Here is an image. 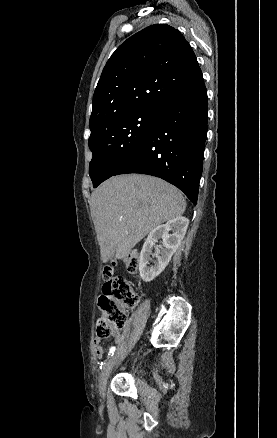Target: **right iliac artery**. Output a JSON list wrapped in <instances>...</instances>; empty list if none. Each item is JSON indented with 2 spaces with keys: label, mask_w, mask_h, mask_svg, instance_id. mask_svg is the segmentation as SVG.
<instances>
[{
  "label": "right iliac artery",
  "mask_w": 277,
  "mask_h": 438,
  "mask_svg": "<svg viewBox=\"0 0 277 438\" xmlns=\"http://www.w3.org/2000/svg\"><path fill=\"white\" fill-rule=\"evenodd\" d=\"M115 350H116V348H115L114 346L111 347V348H110V351H109V356H113Z\"/></svg>",
  "instance_id": "1"
}]
</instances>
